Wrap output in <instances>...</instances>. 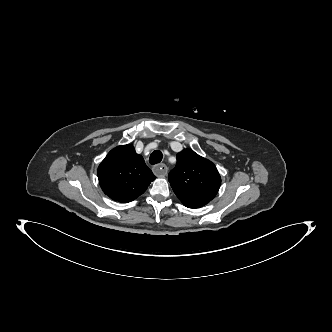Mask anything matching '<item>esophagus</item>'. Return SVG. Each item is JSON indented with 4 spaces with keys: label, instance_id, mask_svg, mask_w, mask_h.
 Wrapping results in <instances>:
<instances>
[{
    "label": "esophagus",
    "instance_id": "1",
    "mask_svg": "<svg viewBox=\"0 0 332 332\" xmlns=\"http://www.w3.org/2000/svg\"><path fill=\"white\" fill-rule=\"evenodd\" d=\"M168 168L165 164L160 163L153 167V172L156 176L163 177L167 174Z\"/></svg>",
    "mask_w": 332,
    "mask_h": 332
}]
</instances>
